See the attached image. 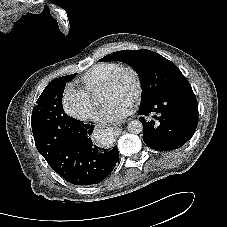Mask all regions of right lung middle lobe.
I'll return each mask as SVG.
<instances>
[{"label":"right lung middle lobe","mask_w":227,"mask_h":227,"mask_svg":"<svg viewBox=\"0 0 227 227\" xmlns=\"http://www.w3.org/2000/svg\"><path fill=\"white\" fill-rule=\"evenodd\" d=\"M75 74L51 81L39 96L33 108L31 124L37 150L46 158L64 139L65 126L74 118L62 106L65 85Z\"/></svg>","instance_id":"dd1d6c3e"}]
</instances>
